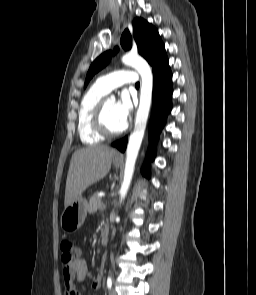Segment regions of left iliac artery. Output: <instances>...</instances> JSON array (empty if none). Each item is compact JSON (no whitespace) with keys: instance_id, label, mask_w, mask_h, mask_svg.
Instances as JSON below:
<instances>
[{"instance_id":"1","label":"left iliac artery","mask_w":256,"mask_h":295,"mask_svg":"<svg viewBox=\"0 0 256 295\" xmlns=\"http://www.w3.org/2000/svg\"><path fill=\"white\" fill-rule=\"evenodd\" d=\"M111 286H112V278H111V276H108V278H107V287H108V289H110Z\"/></svg>"}]
</instances>
